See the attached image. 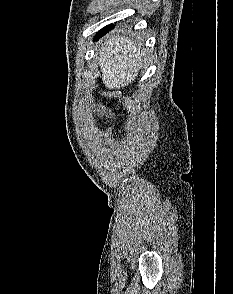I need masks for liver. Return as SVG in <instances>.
<instances>
[{"instance_id":"obj_1","label":"liver","mask_w":233,"mask_h":294,"mask_svg":"<svg viewBox=\"0 0 233 294\" xmlns=\"http://www.w3.org/2000/svg\"><path fill=\"white\" fill-rule=\"evenodd\" d=\"M145 51L126 36L107 37L96 59L102 81L108 89H121L132 83L143 66Z\"/></svg>"}]
</instances>
